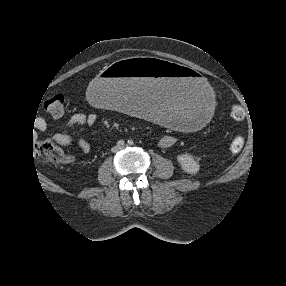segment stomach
<instances>
[{"mask_svg": "<svg viewBox=\"0 0 286 286\" xmlns=\"http://www.w3.org/2000/svg\"><path fill=\"white\" fill-rule=\"evenodd\" d=\"M85 96L93 106L173 130L200 126L214 104L212 87L199 72L149 57L105 67L88 83Z\"/></svg>", "mask_w": 286, "mask_h": 286, "instance_id": "0dacf381", "label": "stomach"}]
</instances>
